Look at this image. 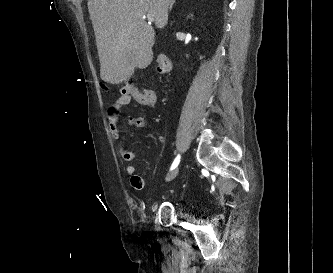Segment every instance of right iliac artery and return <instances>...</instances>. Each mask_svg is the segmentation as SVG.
I'll return each mask as SVG.
<instances>
[{"mask_svg":"<svg viewBox=\"0 0 333 273\" xmlns=\"http://www.w3.org/2000/svg\"><path fill=\"white\" fill-rule=\"evenodd\" d=\"M179 162H180V155H177V157L175 158L170 170L175 169L178 166Z\"/></svg>","mask_w":333,"mask_h":273,"instance_id":"right-iliac-artery-1","label":"right iliac artery"}]
</instances>
